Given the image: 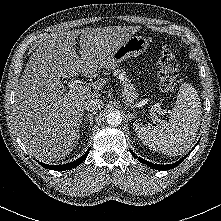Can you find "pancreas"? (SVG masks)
Instances as JSON below:
<instances>
[{
  "label": "pancreas",
  "mask_w": 221,
  "mask_h": 221,
  "mask_svg": "<svg viewBox=\"0 0 221 221\" xmlns=\"http://www.w3.org/2000/svg\"><path fill=\"white\" fill-rule=\"evenodd\" d=\"M116 75H122L124 77V93L128 101L133 102L138 97V93L135 91L134 85L132 84L130 78L126 75L124 71L117 70Z\"/></svg>",
  "instance_id": "obj_1"
}]
</instances>
